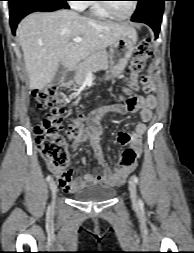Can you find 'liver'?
Instances as JSON below:
<instances>
[{"label": "liver", "mask_w": 194, "mask_h": 253, "mask_svg": "<svg viewBox=\"0 0 194 253\" xmlns=\"http://www.w3.org/2000/svg\"><path fill=\"white\" fill-rule=\"evenodd\" d=\"M16 35L31 90L48 85L60 64L72 71L82 59L121 37H137L136 30L127 23L97 21L71 10L32 13L20 22ZM75 37L82 41L73 42Z\"/></svg>", "instance_id": "liver-1"}]
</instances>
